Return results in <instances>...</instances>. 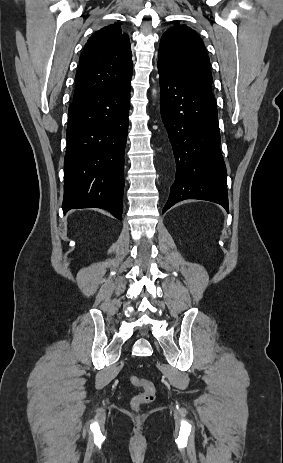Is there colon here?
<instances>
[{
  "instance_id": "1",
  "label": "colon",
  "mask_w": 283,
  "mask_h": 463,
  "mask_svg": "<svg viewBox=\"0 0 283 463\" xmlns=\"http://www.w3.org/2000/svg\"><path fill=\"white\" fill-rule=\"evenodd\" d=\"M132 382L140 388V393L137 394L131 402L132 408L138 410L141 406L153 402L156 398V387L153 382L148 379L138 378L133 376Z\"/></svg>"
}]
</instances>
